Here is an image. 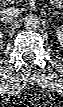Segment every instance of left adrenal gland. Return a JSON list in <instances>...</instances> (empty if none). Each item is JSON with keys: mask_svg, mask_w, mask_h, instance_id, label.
<instances>
[{"mask_svg": "<svg viewBox=\"0 0 63 107\" xmlns=\"http://www.w3.org/2000/svg\"><path fill=\"white\" fill-rule=\"evenodd\" d=\"M53 14H60V12L56 11V12H54Z\"/></svg>", "mask_w": 63, "mask_h": 107, "instance_id": "a2214340", "label": "left adrenal gland"}]
</instances>
